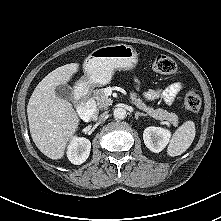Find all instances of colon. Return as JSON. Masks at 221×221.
Returning <instances> with one entry per match:
<instances>
[{
	"label": "colon",
	"instance_id": "5ec220e1",
	"mask_svg": "<svg viewBox=\"0 0 221 221\" xmlns=\"http://www.w3.org/2000/svg\"><path fill=\"white\" fill-rule=\"evenodd\" d=\"M153 68L158 73L170 75L176 72L177 65L171 57L158 55L153 61ZM183 103L189 112H198L201 108V97L199 92L196 90L187 91Z\"/></svg>",
	"mask_w": 221,
	"mask_h": 221
}]
</instances>
